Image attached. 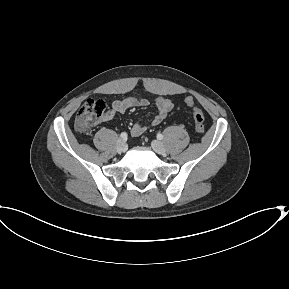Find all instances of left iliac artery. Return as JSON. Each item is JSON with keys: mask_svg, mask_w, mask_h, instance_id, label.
I'll list each match as a JSON object with an SVG mask.
<instances>
[{"mask_svg": "<svg viewBox=\"0 0 289 289\" xmlns=\"http://www.w3.org/2000/svg\"><path fill=\"white\" fill-rule=\"evenodd\" d=\"M157 138H158L159 140H161V139H163V135H162L161 133H158V134H157Z\"/></svg>", "mask_w": 289, "mask_h": 289, "instance_id": "left-iliac-artery-1", "label": "left iliac artery"}]
</instances>
